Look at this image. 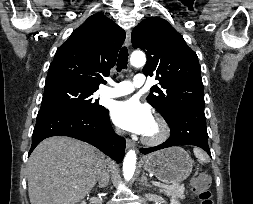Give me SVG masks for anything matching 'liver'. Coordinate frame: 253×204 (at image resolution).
Masks as SVG:
<instances>
[{
    "label": "liver",
    "mask_w": 253,
    "mask_h": 204,
    "mask_svg": "<svg viewBox=\"0 0 253 204\" xmlns=\"http://www.w3.org/2000/svg\"><path fill=\"white\" fill-rule=\"evenodd\" d=\"M105 156L82 141L53 136L43 140L28 160L31 204H75L95 186Z\"/></svg>",
    "instance_id": "6515ba94"
}]
</instances>
